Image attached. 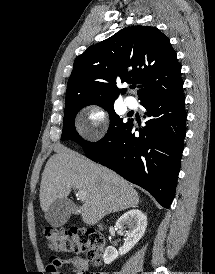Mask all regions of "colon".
I'll return each instance as SVG.
<instances>
[{
	"label": "colon",
	"mask_w": 215,
	"mask_h": 274,
	"mask_svg": "<svg viewBox=\"0 0 215 274\" xmlns=\"http://www.w3.org/2000/svg\"><path fill=\"white\" fill-rule=\"evenodd\" d=\"M49 247L60 253L86 252L88 258L98 262L101 258L104 238L93 228H71L66 231L47 226L44 229Z\"/></svg>",
	"instance_id": "obj_1"
}]
</instances>
